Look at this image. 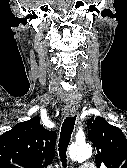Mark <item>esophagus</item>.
<instances>
[{
    "instance_id": "esophagus-1",
    "label": "esophagus",
    "mask_w": 127,
    "mask_h": 168,
    "mask_svg": "<svg viewBox=\"0 0 127 168\" xmlns=\"http://www.w3.org/2000/svg\"><path fill=\"white\" fill-rule=\"evenodd\" d=\"M77 113V108L76 107H66L64 109V114L68 117H72Z\"/></svg>"
}]
</instances>
